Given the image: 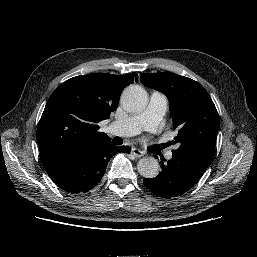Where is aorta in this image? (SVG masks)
Segmentation results:
<instances>
[{
	"label": "aorta",
	"mask_w": 257,
	"mask_h": 257,
	"mask_svg": "<svg viewBox=\"0 0 257 257\" xmlns=\"http://www.w3.org/2000/svg\"><path fill=\"white\" fill-rule=\"evenodd\" d=\"M148 103L146 91L138 85L127 87L121 95V105L128 112L143 110ZM159 163L154 157H143L137 164L139 174L145 178H154L159 173Z\"/></svg>",
	"instance_id": "1"
}]
</instances>
